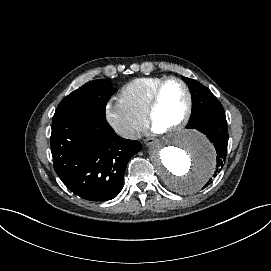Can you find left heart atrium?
Segmentation results:
<instances>
[{
	"label": "left heart atrium",
	"mask_w": 271,
	"mask_h": 271,
	"mask_svg": "<svg viewBox=\"0 0 271 271\" xmlns=\"http://www.w3.org/2000/svg\"><path fill=\"white\" fill-rule=\"evenodd\" d=\"M154 129H155L156 132H161V131H162V130H160V129L157 128V127H154Z\"/></svg>",
	"instance_id": "obj_1"
}]
</instances>
